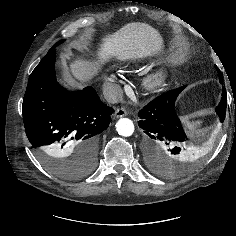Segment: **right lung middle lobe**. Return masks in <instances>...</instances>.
<instances>
[{
    "label": "right lung middle lobe",
    "instance_id": "obj_1",
    "mask_svg": "<svg viewBox=\"0 0 236 236\" xmlns=\"http://www.w3.org/2000/svg\"><path fill=\"white\" fill-rule=\"evenodd\" d=\"M64 40L57 42L50 50H55L58 44H61ZM40 160L43 165L52 173L63 178H77L86 175L94 166V164L78 161L67 162L57 160L50 157L47 154L40 153Z\"/></svg>",
    "mask_w": 236,
    "mask_h": 236
}]
</instances>
